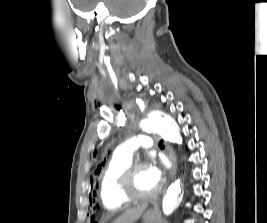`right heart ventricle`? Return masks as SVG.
Masks as SVG:
<instances>
[{
  "label": "right heart ventricle",
  "mask_w": 267,
  "mask_h": 223,
  "mask_svg": "<svg viewBox=\"0 0 267 223\" xmlns=\"http://www.w3.org/2000/svg\"><path fill=\"white\" fill-rule=\"evenodd\" d=\"M131 164V160L113 156L106 166L100 185V198L104 208L108 211H117L127 205L123 199L119 181L122 173Z\"/></svg>",
  "instance_id": "1"
}]
</instances>
